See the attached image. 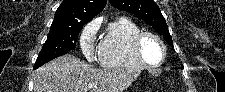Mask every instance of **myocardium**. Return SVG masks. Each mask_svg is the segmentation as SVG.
Wrapping results in <instances>:
<instances>
[{"label":"myocardium","mask_w":225,"mask_h":92,"mask_svg":"<svg viewBox=\"0 0 225 92\" xmlns=\"http://www.w3.org/2000/svg\"><path fill=\"white\" fill-rule=\"evenodd\" d=\"M147 38H151L153 40H155L161 47L162 50V57L161 60L157 63H149L145 60L142 51H141V46L142 43L145 39ZM132 52L136 58V60L138 61V63L141 66H144L146 68H150V69H156L160 66L163 65V63L165 62L166 59V46L163 42V40L156 34L152 33V32H148V31H141L140 33H138L132 40Z\"/></svg>","instance_id":"f54148a6"}]
</instances>
